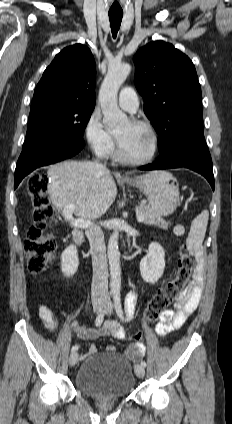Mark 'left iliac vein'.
Segmentation results:
<instances>
[{
  "instance_id": "1",
  "label": "left iliac vein",
  "mask_w": 232,
  "mask_h": 424,
  "mask_svg": "<svg viewBox=\"0 0 232 424\" xmlns=\"http://www.w3.org/2000/svg\"><path fill=\"white\" fill-rule=\"evenodd\" d=\"M111 312H112V303L109 302L108 303V306H107V309H106V314L107 315H110ZM135 373H136V375H137L138 378H143L144 375H145V369H144V367L142 365H139V364L135 365Z\"/></svg>"
}]
</instances>
